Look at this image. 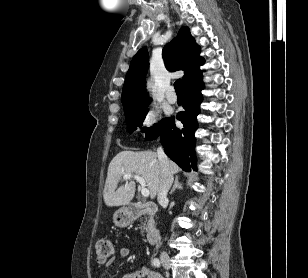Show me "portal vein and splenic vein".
<instances>
[{
	"mask_svg": "<svg viewBox=\"0 0 308 278\" xmlns=\"http://www.w3.org/2000/svg\"><path fill=\"white\" fill-rule=\"evenodd\" d=\"M124 179L134 178L141 186V194L144 197H148L150 192L149 189L146 188V182L143 177L131 173H126L123 175Z\"/></svg>",
	"mask_w": 308,
	"mask_h": 278,
	"instance_id": "18ae733b",
	"label": "portal vein and splenic vein"
}]
</instances>
